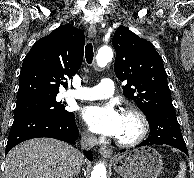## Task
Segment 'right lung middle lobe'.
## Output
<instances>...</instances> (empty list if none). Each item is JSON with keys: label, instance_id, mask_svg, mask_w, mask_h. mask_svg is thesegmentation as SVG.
<instances>
[{"label": "right lung middle lobe", "instance_id": "right-lung-middle-lobe-1", "mask_svg": "<svg viewBox=\"0 0 194 178\" xmlns=\"http://www.w3.org/2000/svg\"><path fill=\"white\" fill-rule=\"evenodd\" d=\"M24 111H44L56 116L71 113L66 111L65 106L56 100V96L34 98L17 102L14 113Z\"/></svg>", "mask_w": 194, "mask_h": 178}]
</instances>
